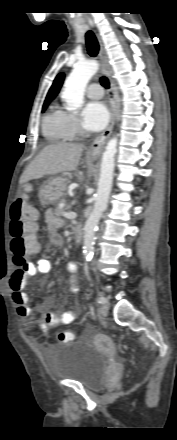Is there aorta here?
Returning a JSON list of instances; mask_svg holds the SVG:
<instances>
[{"mask_svg": "<svg viewBox=\"0 0 177 440\" xmlns=\"http://www.w3.org/2000/svg\"><path fill=\"white\" fill-rule=\"evenodd\" d=\"M96 61L78 62L64 84L63 99L66 109L75 111L83 104L84 92L89 80L98 71ZM117 151V138H111L102 156L100 178L93 211L84 226L83 253L88 262L93 257L95 233L102 213L106 210L109 195L112 189L114 158Z\"/></svg>", "mask_w": 177, "mask_h": 440, "instance_id": "762f6f07", "label": "aorta"}]
</instances>
